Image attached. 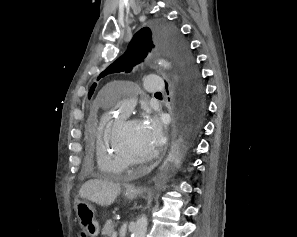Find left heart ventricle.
<instances>
[{
    "mask_svg": "<svg viewBox=\"0 0 297 237\" xmlns=\"http://www.w3.org/2000/svg\"><path fill=\"white\" fill-rule=\"evenodd\" d=\"M124 142L129 151L138 157H143L154 151L142 136L138 122L127 126L123 134Z\"/></svg>",
    "mask_w": 297,
    "mask_h": 237,
    "instance_id": "b2bd125f",
    "label": "left heart ventricle"
}]
</instances>
